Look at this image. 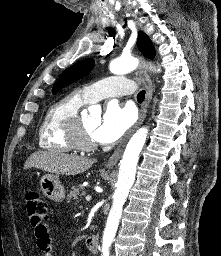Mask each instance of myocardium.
<instances>
[{"label":"myocardium","mask_w":221,"mask_h":256,"mask_svg":"<svg viewBox=\"0 0 221 256\" xmlns=\"http://www.w3.org/2000/svg\"><path fill=\"white\" fill-rule=\"evenodd\" d=\"M71 138L75 147L81 150L90 151L95 149L97 146L95 141L85 133L80 116H77L75 123L72 126Z\"/></svg>","instance_id":"f54148a6"}]
</instances>
